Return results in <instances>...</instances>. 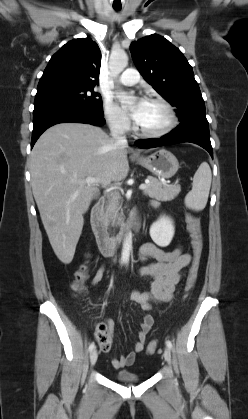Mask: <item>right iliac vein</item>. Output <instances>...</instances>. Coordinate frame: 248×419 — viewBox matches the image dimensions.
Segmentation results:
<instances>
[{
  "instance_id": "1",
  "label": "right iliac vein",
  "mask_w": 248,
  "mask_h": 419,
  "mask_svg": "<svg viewBox=\"0 0 248 419\" xmlns=\"http://www.w3.org/2000/svg\"><path fill=\"white\" fill-rule=\"evenodd\" d=\"M98 353L96 349H93L90 353V363L91 365H94L97 361Z\"/></svg>"
}]
</instances>
